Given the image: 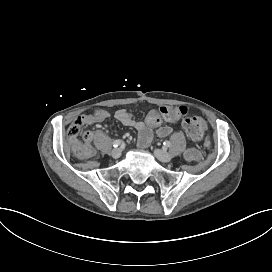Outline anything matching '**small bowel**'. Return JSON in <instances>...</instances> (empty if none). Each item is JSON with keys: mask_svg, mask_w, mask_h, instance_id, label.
Instances as JSON below:
<instances>
[{"mask_svg": "<svg viewBox=\"0 0 272 272\" xmlns=\"http://www.w3.org/2000/svg\"><path fill=\"white\" fill-rule=\"evenodd\" d=\"M110 117V113L106 110L96 109L91 113L81 114L75 118L74 121H81L84 125H96ZM114 117L123 125L133 128L138 132V143L141 146H146L151 139L152 129L157 127L161 118L168 123H175L179 120V113L174 107H161L159 112L151 111L145 121L136 120L132 113L125 109H119L114 113ZM157 117L159 122L156 123L154 118ZM173 129L169 125L160 126L156 133L159 137L164 138L169 136ZM93 134L87 132L83 135L84 144H81L77 138H72L68 135L70 142L75 146L85 145L90 147V141ZM186 156L190 160H196L199 156L195 149H190L186 152Z\"/></svg>", "mask_w": 272, "mask_h": 272, "instance_id": "small-bowel-1", "label": "small bowel"}]
</instances>
